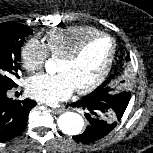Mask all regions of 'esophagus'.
Returning a JSON list of instances; mask_svg holds the SVG:
<instances>
[{"label": "esophagus", "instance_id": "obj_1", "mask_svg": "<svg viewBox=\"0 0 153 153\" xmlns=\"http://www.w3.org/2000/svg\"><path fill=\"white\" fill-rule=\"evenodd\" d=\"M51 111L53 113H55V114H61L64 111V109H62V108H53Z\"/></svg>", "mask_w": 153, "mask_h": 153}]
</instances>
